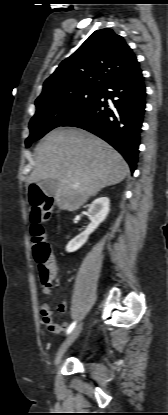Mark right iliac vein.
<instances>
[{"instance_id": "1", "label": "right iliac vein", "mask_w": 168, "mask_h": 415, "mask_svg": "<svg viewBox=\"0 0 168 415\" xmlns=\"http://www.w3.org/2000/svg\"><path fill=\"white\" fill-rule=\"evenodd\" d=\"M81 330H82V324H79L78 326H76L72 330V332L69 334V336L62 343V345L60 346V348H59V350H58V352L56 354V358H55V362H54L55 365H57L59 363V361L61 360V358L63 357V355L67 351V349L77 339V337L79 336Z\"/></svg>"}]
</instances>
